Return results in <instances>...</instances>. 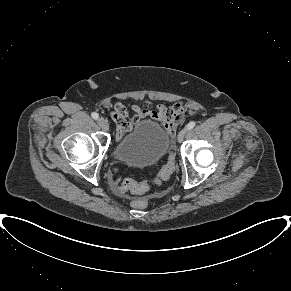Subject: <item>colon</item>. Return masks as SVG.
Masks as SVG:
<instances>
[{
	"label": "colon",
	"instance_id": "5ec220e1",
	"mask_svg": "<svg viewBox=\"0 0 291 291\" xmlns=\"http://www.w3.org/2000/svg\"><path fill=\"white\" fill-rule=\"evenodd\" d=\"M175 158L174 154L171 152L168 160L163 165L159 171L157 177L152 181L154 184H161L165 180L169 179L175 170ZM112 185L113 188L120 194L132 193L141 194L148 190L149 183L147 181L136 182L132 179H122L112 175ZM148 201L146 199H134L132 201V206L136 209H146L148 207Z\"/></svg>",
	"mask_w": 291,
	"mask_h": 291
}]
</instances>
